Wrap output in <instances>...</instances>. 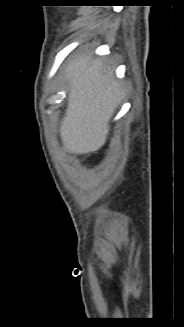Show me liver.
<instances>
[{"mask_svg":"<svg viewBox=\"0 0 184 327\" xmlns=\"http://www.w3.org/2000/svg\"><path fill=\"white\" fill-rule=\"evenodd\" d=\"M69 82L68 105L60 137L71 154L99 150L106 142L109 123L123 93L113 71L103 68L92 56H81L66 70Z\"/></svg>","mask_w":184,"mask_h":327,"instance_id":"obj_1","label":"liver"}]
</instances>
